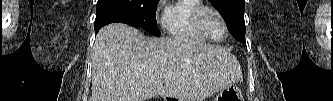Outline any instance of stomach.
Returning <instances> with one entry per match:
<instances>
[{
  "mask_svg": "<svg viewBox=\"0 0 333 101\" xmlns=\"http://www.w3.org/2000/svg\"><path fill=\"white\" fill-rule=\"evenodd\" d=\"M214 101H244V99L236 85H229L220 90Z\"/></svg>",
  "mask_w": 333,
  "mask_h": 101,
  "instance_id": "1",
  "label": "stomach"
}]
</instances>
